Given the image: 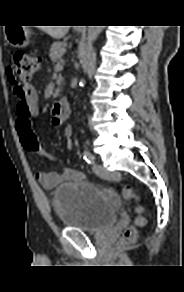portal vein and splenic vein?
Listing matches in <instances>:
<instances>
[{
    "instance_id": "portal-vein-and-splenic-vein-1",
    "label": "portal vein and splenic vein",
    "mask_w": 184,
    "mask_h": 292,
    "mask_svg": "<svg viewBox=\"0 0 184 292\" xmlns=\"http://www.w3.org/2000/svg\"><path fill=\"white\" fill-rule=\"evenodd\" d=\"M63 68V65L61 63H58L56 66H55V69L56 70H61Z\"/></svg>"
}]
</instances>
